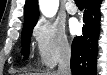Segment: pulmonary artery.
I'll return each mask as SVG.
<instances>
[{"instance_id": "obj_1", "label": "pulmonary artery", "mask_w": 107, "mask_h": 75, "mask_svg": "<svg viewBox=\"0 0 107 75\" xmlns=\"http://www.w3.org/2000/svg\"><path fill=\"white\" fill-rule=\"evenodd\" d=\"M66 9H67L68 13H70V14H76L78 11L76 5L71 0L67 1Z\"/></svg>"}]
</instances>
